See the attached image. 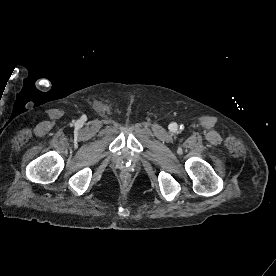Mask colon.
<instances>
[{
	"instance_id": "colon-1",
	"label": "colon",
	"mask_w": 276,
	"mask_h": 276,
	"mask_svg": "<svg viewBox=\"0 0 276 276\" xmlns=\"http://www.w3.org/2000/svg\"><path fill=\"white\" fill-rule=\"evenodd\" d=\"M122 178L126 179L127 178V174L126 173H122Z\"/></svg>"
}]
</instances>
